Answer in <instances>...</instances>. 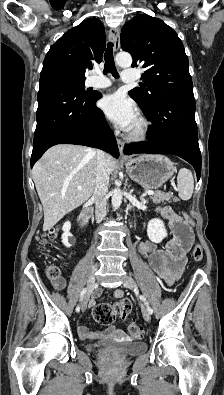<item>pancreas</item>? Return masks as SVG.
<instances>
[{
  "label": "pancreas",
  "instance_id": "1",
  "mask_svg": "<svg viewBox=\"0 0 224 395\" xmlns=\"http://www.w3.org/2000/svg\"><path fill=\"white\" fill-rule=\"evenodd\" d=\"M154 202H164V201H171L172 195L169 193H161V192H156L153 197H151ZM174 201H177V198H173Z\"/></svg>",
  "mask_w": 224,
  "mask_h": 395
}]
</instances>
